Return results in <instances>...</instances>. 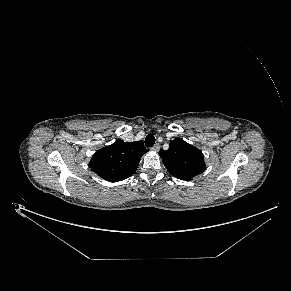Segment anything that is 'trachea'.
<instances>
[{
    "label": "trachea",
    "instance_id": "3493384b",
    "mask_svg": "<svg viewBox=\"0 0 291 291\" xmlns=\"http://www.w3.org/2000/svg\"><path fill=\"white\" fill-rule=\"evenodd\" d=\"M155 144V137L152 134H148L145 139L146 147H152Z\"/></svg>",
    "mask_w": 291,
    "mask_h": 291
}]
</instances>
